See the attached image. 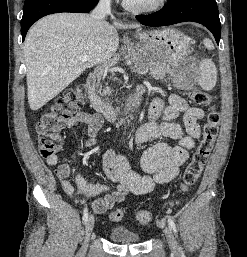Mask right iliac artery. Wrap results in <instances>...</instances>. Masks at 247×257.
Masks as SVG:
<instances>
[{"label":"right iliac artery","instance_id":"right-iliac-artery-1","mask_svg":"<svg viewBox=\"0 0 247 257\" xmlns=\"http://www.w3.org/2000/svg\"><path fill=\"white\" fill-rule=\"evenodd\" d=\"M88 220V210H87V207L84 208V211H83V221L84 223H86Z\"/></svg>","mask_w":247,"mask_h":257}]
</instances>
